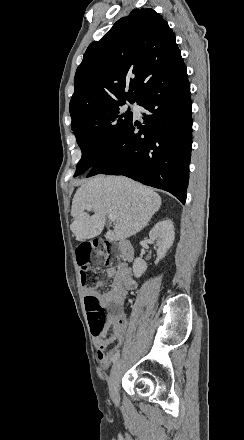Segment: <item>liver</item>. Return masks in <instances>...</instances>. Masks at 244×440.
<instances>
[{"label":"liver","mask_w":244,"mask_h":440,"mask_svg":"<svg viewBox=\"0 0 244 440\" xmlns=\"http://www.w3.org/2000/svg\"><path fill=\"white\" fill-rule=\"evenodd\" d=\"M88 206L93 216L87 214ZM160 206V196L138 182L124 176H94L78 188L73 198L74 222L70 230L77 240L96 238L104 228L106 214H114V230H109L105 238L121 242L143 230Z\"/></svg>","instance_id":"1"}]
</instances>
